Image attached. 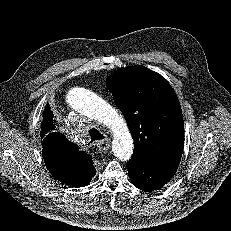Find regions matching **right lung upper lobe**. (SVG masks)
<instances>
[{"instance_id":"obj_1","label":"right lung upper lobe","mask_w":231,"mask_h":231,"mask_svg":"<svg viewBox=\"0 0 231 231\" xmlns=\"http://www.w3.org/2000/svg\"><path fill=\"white\" fill-rule=\"evenodd\" d=\"M61 124L47 103L41 122L42 153L47 169L58 181L73 186L87 185L95 175L91 156L59 132Z\"/></svg>"}]
</instances>
